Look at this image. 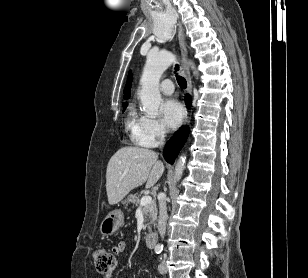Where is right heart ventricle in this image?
<instances>
[{"label":"right heart ventricle","mask_w":308,"mask_h":278,"mask_svg":"<svg viewBox=\"0 0 308 278\" xmlns=\"http://www.w3.org/2000/svg\"><path fill=\"white\" fill-rule=\"evenodd\" d=\"M143 116L134 107H131L126 118V128L130 133L133 142L141 145L140 135L142 130Z\"/></svg>","instance_id":"e07e8e85"}]
</instances>
